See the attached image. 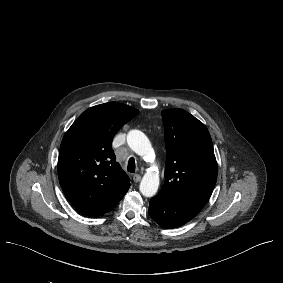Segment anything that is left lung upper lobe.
<instances>
[{
    "mask_svg": "<svg viewBox=\"0 0 283 283\" xmlns=\"http://www.w3.org/2000/svg\"><path fill=\"white\" fill-rule=\"evenodd\" d=\"M167 160L161 194L204 206L217 179V163L206 126L183 109L162 111Z\"/></svg>",
    "mask_w": 283,
    "mask_h": 283,
    "instance_id": "5c2ea615",
    "label": "left lung upper lobe"
}]
</instances>
